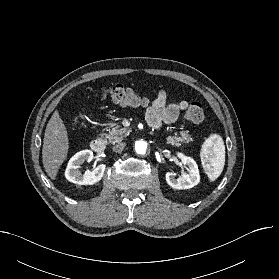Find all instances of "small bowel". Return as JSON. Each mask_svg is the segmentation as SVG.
Instances as JSON below:
<instances>
[{"label":"small bowel","instance_id":"obj_1","mask_svg":"<svg viewBox=\"0 0 279 279\" xmlns=\"http://www.w3.org/2000/svg\"><path fill=\"white\" fill-rule=\"evenodd\" d=\"M189 107L186 100H179L168 103V96L165 90H160L146 111L148 123L155 129H159L162 124L175 122L180 113Z\"/></svg>","mask_w":279,"mask_h":279}]
</instances>
